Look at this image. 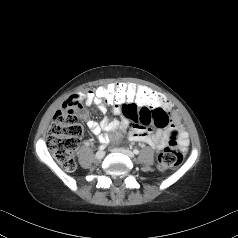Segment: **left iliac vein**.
Returning a JSON list of instances; mask_svg holds the SVG:
<instances>
[{
	"label": "left iliac vein",
	"mask_w": 238,
	"mask_h": 238,
	"mask_svg": "<svg viewBox=\"0 0 238 238\" xmlns=\"http://www.w3.org/2000/svg\"><path fill=\"white\" fill-rule=\"evenodd\" d=\"M115 151H119V152L127 155L130 158H134V153L132 151L128 150V149L119 148V149H116Z\"/></svg>",
	"instance_id": "4c4485c4"
}]
</instances>
